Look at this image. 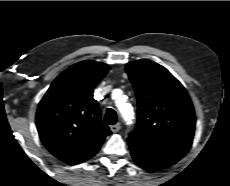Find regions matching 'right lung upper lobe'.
<instances>
[{"label":"right lung upper lobe","instance_id":"right-lung-upper-lobe-1","mask_svg":"<svg viewBox=\"0 0 230 186\" xmlns=\"http://www.w3.org/2000/svg\"><path fill=\"white\" fill-rule=\"evenodd\" d=\"M110 67L82 61L63 71L39 103L36 124L44 146L58 159L80 163L93 157L111 131L100 119L93 89Z\"/></svg>","mask_w":230,"mask_h":186}]
</instances>
